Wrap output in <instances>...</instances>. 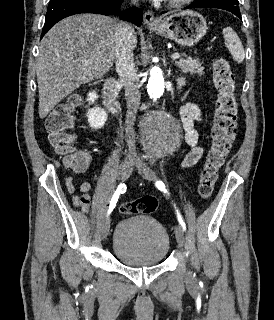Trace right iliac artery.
Segmentation results:
<instances>
[{
  "label": "right iliac artery",
  "mask_w": 274,
  "mask_h": 320,
  "mask_svg": "<svg viewBox=\"0 0 274 320\" xmlns=\"http://www.w3.org/2000/svg\"><path fill=\"white\" fill-rule=\"evenodd\" d=\"M125 192H126V185L124 183H122L118 186L116 192L114 193V195L110 201L107 215H109L112 212V210L114 209L120 194L125 193Z\"/></svg>",
  "instance_id": "obj_1"
}]
</instances>
